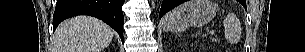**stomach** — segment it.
I'll use <instances>...</instances> for the list:
<instances>
[{"mask_svg":"<svg viewBox=\"0 0 305 52\" xmlns=\"http://www.w3.org/2000/svg\"><path fill=\"white\" fill-rule=\"evenodd\" d=\"M215 15L216 5L211 0H190L167 13L162 22L166 31L183 32L206 25Z\"/></svg>","mask_w":305,"mask_h":52,"instance_id":"stomach-1","label":"stomach"}]
</instances>
